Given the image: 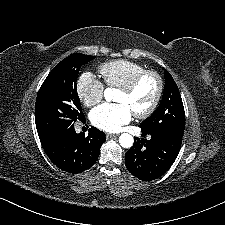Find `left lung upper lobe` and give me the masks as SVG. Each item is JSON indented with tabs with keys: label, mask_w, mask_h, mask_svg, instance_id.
Masks as SVG:
<instances>
[{
	"label": "left lung upper lobe",
	"mask_w": 225,
	"mask_h": 225,
	"mask_svg": "<svg viewBox=\"0 0 225 225\" xmlns=\"http://www.w3.org/2000/svg\"><path fill=\"white\" fill-rule=\"evenodd\" d=\"M162 101L155 112L139 126L143 130L170 131L183 136L185 111L178 87L167 70Z\"/></svg>",
	"instance_id": "1"
}]
</instances>
